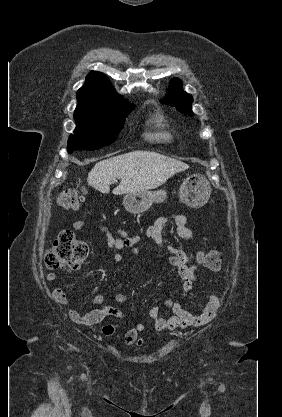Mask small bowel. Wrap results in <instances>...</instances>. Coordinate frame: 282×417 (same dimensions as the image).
I'll list each match as a JSON object with an SVG mask.
<instances>
[{"mask_svg": "<svg viewBox=\"0 0 282 417\" xmlns=\"http://www.w3.org/2000/svg\"><path fill=\"white\" fill-rule=\"evenodd\" d=\"M169 224H172L175 227L180 238L185 240L194 239L193 231L187 226V217L180 213L158 217L153 224L145 230L144 235L150 239L158 249L166 250L169 253L168 261L177 268V273L182 283L179 297L185 299L189 296L196 284V271L198 264L202 263L201 255L203 253L199 254L198 263H191L188 254L181 248L169 243L166 238L164 229ZM87 226L88 223L84 220H77L72 224L75 231H80ZM98 229L107 234V244L113 253L115 261L121 262L123 260L122 250L130 249L133 253L138 252L140 236L131 235L122 229H116V235H112L104 226H98ZM57 278L58 275L55 272H50L46 276V280L50 283L55 282ZM51 295L57 303L69 307L68 314L72 321L87 327L95 328L96 325L107 317H114L117 319H123L125 317V311L122 308L104 303L108 296V292H100L95 295L93 304L96 308L85 314H80L71 306V302L62 288L54 287L51 291ZM117 300L122 302L124 297L119 295ZM165 306L172 311L173 315H161L158 306H153L149 310V317L153 322L154 329L160 333L184 329L190 326H202L209 323L217 313L220 306V300L217 295H211L207 306L202 313L198 315L187 311L178 302L172 299L166 300ZM143 330V324H136L130 327L124 335V344L126 346L143 345L144 340L141 336ZM116 331L117 325L114 323L106 324L99 329V332L107 337L113 336Z\"/></svg>", "mask_w": 282, "mask_h": 417, "instance_id": "1", "label": "small bowel"}]
</instances>
